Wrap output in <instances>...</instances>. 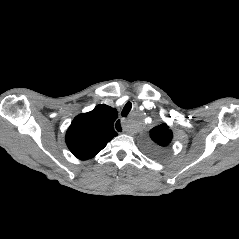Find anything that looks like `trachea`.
Listing matches in <instances>:
<instances>
[{
    "label": "trachea",
    "mask_w": 239,
    "mask_h": 239,
    "mask_svg": "<svg viewBox=\"0 0 239 239\" xmlns=\"http://www.w3.org/2000/svg\"><path fill=\"white\" fill-rule=\"evenodd\" d=\"M131 108H132V103L131 102L126 103V105L124 106V108L121 112V115L123 117H126L129 114Z\"/></svg>",
    "instance_id": "trachea-1"
}]
</instances>
